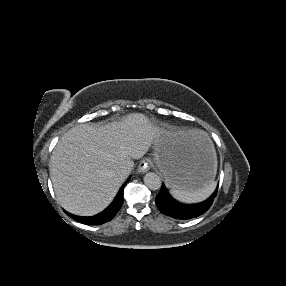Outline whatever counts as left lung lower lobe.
Returning <instances> with one entry per match:
<instances>
[{
	"instance_id": "0a47b994",
	"label": "left lung lower lobe",
	"mask_w": 286,
	"mask_h": 286,
	"mask_svg": "<svg viewBox=\"0 0 286 286\" xmlns=\"http://www.w3.org/2000/svg\"><path fill=\"white\" fill-rule=\"evenodd\" d=\"M217 190L218 187L206 201L198 204L187 205L174 200L166 190L165 186L162 185L159 194L156 196V205L165 215L176 219H191L200 216L209 209L217 194Z\"/></svg>"
}]
</instances>
